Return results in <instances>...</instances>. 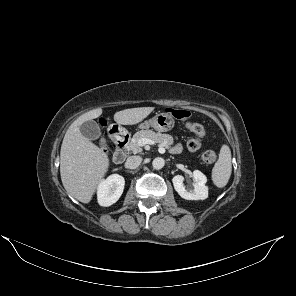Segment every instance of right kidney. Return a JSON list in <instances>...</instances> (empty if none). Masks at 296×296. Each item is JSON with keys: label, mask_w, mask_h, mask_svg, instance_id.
Listing matches in <instances>:
<instances>
[{"label": "right kidney", "mask_w": 296, "mask_h": 296, "mask_svg": "<svg viewBox=\"0 0 296 296\" xmlns=\"http://www.w3.org/2000/svg\"><path fill=\"white\" fill-rule=\"evenodd\" d=\"M125 180L121 175L113 174L99 183L97 199L101 206H111L121 197L124 190Z\"/></svg>", "instance_id": "1"}]
</instances>
